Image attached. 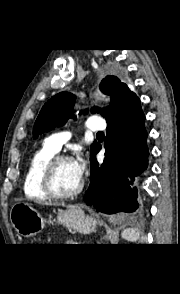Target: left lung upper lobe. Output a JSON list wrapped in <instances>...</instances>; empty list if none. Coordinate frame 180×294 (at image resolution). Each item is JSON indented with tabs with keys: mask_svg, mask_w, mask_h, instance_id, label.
Masks as SVG:
<instances>
[{
	"mask_svg": "<svg viewBox=\"0 0 180 294\" xmlns=\"http://www.w3.org/2000/svg\"><path fill=\"white\" fill-rule=\"evenodd\" d=\"M100 89L103 93L110 95L112 104L110 107L103 108L101 111L97 107L94 110L100 112L107 121L115 116L132 96L136 95L130 91L124 82L113 75H109L102 80ZM73 105L74 95L68 92L59 93L48 100L35 121L33 130L34 138H37L44 131H49L56 126L65 124L69 117H74L71 114ZM98 146V143H94L91 146V155L94 154Z\"/></svg>",
	"mask_w": 180,
	"mask_h": 294,
	"instance_id": "5c2ea615",
	"label": "left lung upper lobe"
}]
</instances>
